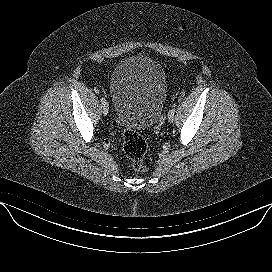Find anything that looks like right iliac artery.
<instances>
[{
  "instance_id": "1",
  "label": "right iliac artery",
  "mask_w": 272,
  "mask_h": 272,
  "mask_svg": "<svg viewBox=\"0 0 272 272\" xmlns=\"http://www.w3.org/2000/svg\"><path fill=\"white\" fill-rule=\"evenodd\" d=\"M101 103H102V105H106L107 104L105 98H103V97L101 98Z\"/></svg>"
}]
</instances>
